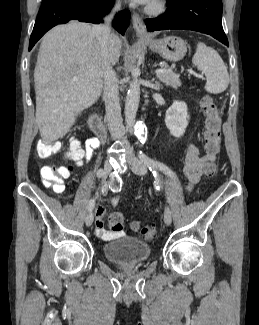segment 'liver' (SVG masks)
<instances>
[{"label":"liver","instance_id":"liver-1","mask_svg":"<svg viewBox=\"0 0 259 325\" xmlns=\"http://www.w3.org/2000/svg\"><path fill=\"white\" fill-rule=\"evenodd\" d=\"M93 28L88 23L71 21L54 27L42 39L34 82L36 122L46 144L64 137L77 115L101 95L103 74L98 63V37ZM121 46L120 38L111 34L112 65L119 60Z\"/></svg>","mask_w":259,"mask_h":325}]
</instances>
